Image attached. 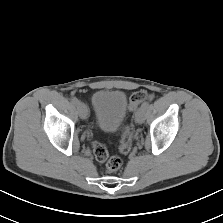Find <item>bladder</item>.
Returning a JSON list of instances; mask_svg holds the SVG:
<instances>
[{"label":"bladder","instance_id":"31cf9c89","mask_svg":"<svg viewBox=\"0 0 223 223\" xmlns=\"http://www.w3.org/2000/svg\"><path fill=\"white\" fill-rule=\"evenodd\" d=\"M96 122L105 132H115L124 123L127 114V96L122 90L100 89L92 95Z\"/></svg>","mask_w":223,"mask_h":223}]
</instances>
